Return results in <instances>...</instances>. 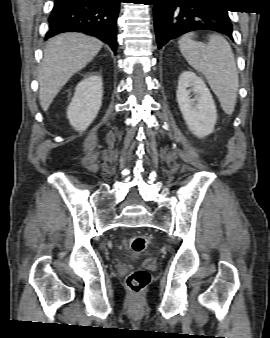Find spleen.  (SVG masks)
<instances>
[{
	"instance_id": "3e777b00",
	"label": "spleen",
	"mask_w": 270,
	"mask_h": 338,
	"mask_svg": "<svg viewBox=\"0 0 270 338\" xmlns=\"http://www.w3.org/2000/svg\"><path fill=\"white\" fill-rule=\"evenodd\" d=\"M194 33L183 35L179 49L188 64L202 73L226 114L234 111L239 78L234 54L228 41L218 34L208 35V42L193 40Z\"/></svg>"
}]
</instances>
